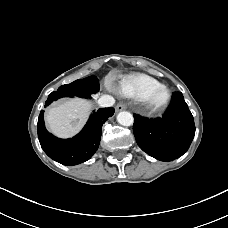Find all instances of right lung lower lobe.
Here are the masks:
<instances>
[{"label":"right lung lower lobe","mask_w":228,"mask_h":228,"mask_svg":"<svg viewBox=\"0 0 228 228\" xmlns=\"http://www.w3.org/2000/svg\"><path fill=\"white\" fill-rule=\"evenodd\" d=\"M66 96L69 95L52 92L45 104L48 106L54 100ZM114 111L115 109L112 107L98 109L90 116L83 130L69 139H59L50 134L45 128L44 111H41L37 131L42 149L51 159L63 165H77L87 161L97 151L100 144L102 125L113 115Z\"/></svg>","instance_id":"98d812e1"}]
</instances>
